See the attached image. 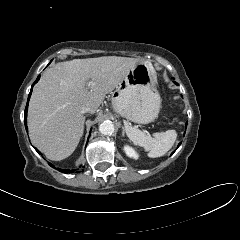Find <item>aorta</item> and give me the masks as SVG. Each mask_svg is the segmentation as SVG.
<instances>
[{
	"label": "aorta",
	"mask_w": 240,
	"mask_h": 240,
	"mask_svg": "<svg viewBox=\"0 0 240 240\" xmlns=\"http://www.w3.org/2000/svg\"><path fill=\"white\" fill-rule=\"evenodd\" d=\"M115 127L111 121H104L99 125V131L103 135H112L114 133Z\"/></svg>",
	"instance_id": "762f6f07"
}]
</instances>
